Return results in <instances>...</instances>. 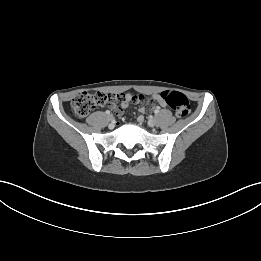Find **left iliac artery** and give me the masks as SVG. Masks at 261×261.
Returning a JSON list of instances; mask_svg holds the SVG:
<instances>
[{"label": "left iliac artery", "instance_id": "left-iliac-artery-1", "mask_svg": "<svg viewBox=\"0 0 261 261\" xmlns=\"http://www.w3.org/2000/svg\"><path fill=\"white\" fill-rule=\"evenodd\" d=\"M159 109H160V108L157 107V108L154 110V113H155V114H158V113H159Z\"/></svg>", "mask_w": 261, "mask_h": 261}]
</instances>
